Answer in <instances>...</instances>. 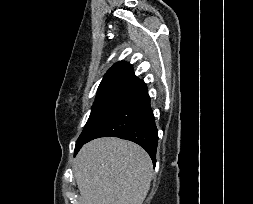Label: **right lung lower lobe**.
Here are the masks:
<instances>
[{"label": "right lung lower lobe", "mask_w": 253, "mask_h": 204, "mask_svg": "<svg viewBox=\"0 0 253 204\" xmlns=\"http://www.w3.org/2000/svg\"><path fill=\"white\" fill-rule=\"evenodd\" d=\"M106 136L118 137L139 144L148 152L155 165L158 130L144 82H141L139 87L95 129L87 142Z\"/></svg>", "instance_id": "right-lung-lower-lobe-1"}]
</instances>
